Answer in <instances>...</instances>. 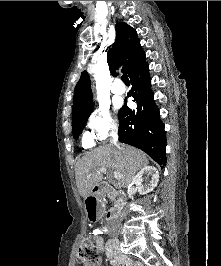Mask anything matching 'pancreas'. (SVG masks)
I'll return each mask as SVG.
<instances>
[{"mask_svg": "<svg viewBox=\"0 0 221 266\" xmlns=\"http://www.w3.org/2000/svg\"><path fill=\"white\" fill-rule=\"evenodd\" d=\"M112 201L114 202V208L120 209L122 206V202L120 200H116L114 197L112 198Z\"/></svg>", "mask_w": 221, "mask_h": 266, "instance_id": "cf45deb5", "label": "pancreas"}]
</instances>
